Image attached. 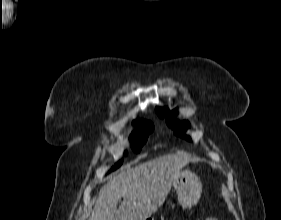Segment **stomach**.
<instances>
[{
  "mask_svg": "<svg viewBox=\"0 0 281 220\" xmlns=\"http://www.w3.org/2000/svg\"><path fill=\"white\" fill-rule=\"evenodd\" d=\"M173 186L182 207L190 208L198 203L202 192V184L195 173L189 170L181 171L174 180Z\"/></svg>",
  "mask_w": 281,
  "mask_h": 220,
  "instance_id": "1",
  "label": "stomach"
}]
</instances>
